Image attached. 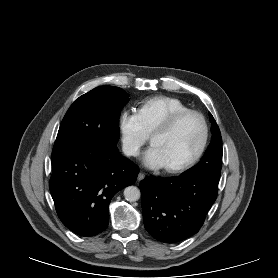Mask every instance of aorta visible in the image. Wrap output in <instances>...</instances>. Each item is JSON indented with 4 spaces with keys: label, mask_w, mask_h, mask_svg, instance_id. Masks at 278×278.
I'll list each match as a JSON object with an SVG mask.
<instances>
[{
    "label": "aorta",
    "mask_w": 278,
    "mask_h": 278,
    "mask_svg": "<svg viewBox=\"0 0 278 278\" xmlns=\"http://www.w3.org/2000/svg\"><path fill=\"white\" fill-rule=\"evenodd\" d=\"M140 196V190L136 186H128L124 189V197L127 201H137L140 199Z\"/></svg>",
    "instance_id": "aorta-1"
}]
</instances>
